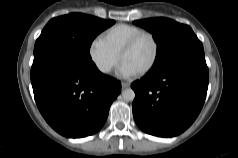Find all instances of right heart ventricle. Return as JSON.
<instances>
[{
	"label": "right heart ventricle",
	"mask_w": 238,
	"mask_h": 158,
	"mask_svg": "<svg viewBox=\"0 0 238 158\" xmlns=\"http://www.w3.org/2000/svg\"><path fill=\"white\" fill-rule=\"evenodd\" d=\"M143 29L129 24H117L108 28L103 34L102 39L118 54L124 45L137 33Z\"/></svg>",
	"instance_id": "obj_1"
}]
</instances>
